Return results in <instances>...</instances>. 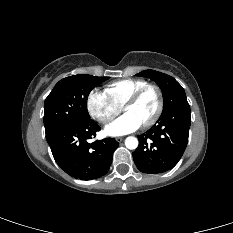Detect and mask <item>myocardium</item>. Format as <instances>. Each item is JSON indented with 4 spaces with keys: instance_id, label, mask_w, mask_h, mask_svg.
<instances>
[{
    "instance_id": "myocardium-1",
    "label": "myocardium",
    "mask_w": 233,
    "mask_h": 233,
    "mask_svg": "<svg viewBox=\"0 0 233 233\" xmlns=\"http://www.w3.org/2000/svg\"><path fill=\"white\" fill-rule=\"evenodd\" d=\"M154 90L157 94V98H158V106L157 109L155 111V113L153 114V116L146 121L145 123L142 124V126L144 128L146 127H150L153 124H155L157 122V120L160 118L163 109H164V99H163V93L162 90L160 89L159 86L154 85V84H146L142 87H140L139 89H137L136 91H134L128 98L127 100L124 102V104L122 105V110L125 111V109L129 106H131L132 104L136 103L139 98L148 90Z\"/></svg>"
}]
</instances>
